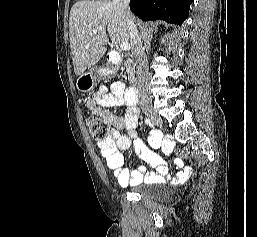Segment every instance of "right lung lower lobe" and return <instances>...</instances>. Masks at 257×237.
<instances>
[{
  "label": "right lung lower lobe",
  "instance_id": "obj_1",
  "mask_svg": "<svg viewBox=\"0 0 257 237\" xmlns=\"http://www.w3.org/2000/svg\"><path fill=\"white\" fill-rule=\"evenodd\" d=\"M193 0H130L131 11L144 21L161 19L181 25Z\"/></svg>",
  "mask_w": 257,
  "mask_h": 237
}]
</instances>
